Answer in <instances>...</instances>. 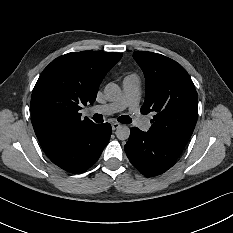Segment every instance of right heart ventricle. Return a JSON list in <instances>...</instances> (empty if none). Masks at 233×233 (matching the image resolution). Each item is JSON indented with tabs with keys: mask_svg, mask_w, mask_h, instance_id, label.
<instances>
[{
	"mask_svg": "<svg viewBox=\"0 0 233 233\" xmlns=\"http://www.w3.org/2000/svg\"><path fill=\"white\" fill-rule=\"evenodd\" d=\"M134 76H129V77H127V78H133Z\"/></svg>",
	"mask_w": 233,
	"mask_h": 233,
	"instance_id": "right-heart-ventricle-1",
	"label": "right heart ventricle"
}]
</instances>
